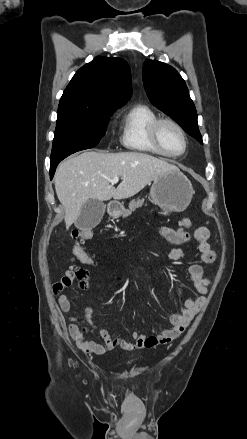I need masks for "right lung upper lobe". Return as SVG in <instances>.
<instances>
[{"mask_svg": "<svg viewBox=\"0 0 247 439\" xmlns=\"http://www.w3.org/2000/svg\"><path fill=\"white\" fill-rule=\"evenodd\" d=\"M131 94L127 62L121 58L96 57L73 76L58 109L117 110Z\"/></svg>", "mask_w": 247, "mask_h": 439, "instance_id": "right-lung-upper-lobe-1", "label": "right lung upper lobe"}]
</instances>
